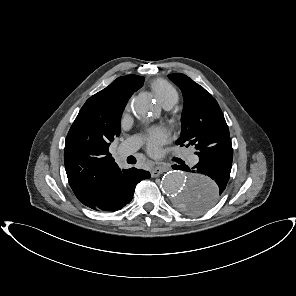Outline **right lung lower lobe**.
<instances>
[{
    "instance_id": "right-lung-lower-lobe-1",
    "label": "right lung lower lobe",
    "mask_w": 296,
    "mask_h": 296,
    "mask_svg": "<svg viewBox=\"0 0 296 296\" xmlns=\"http://www.w3.org/2000/svg\"><path fill=\"white\" fill-rule=\"evenodd\" d=\"M150 178V173L142 169L130 168L123 170L108 184L89 208L98 211H117L132 200L136 185L144 179Z\"/></svg>"
}]
</instances>
